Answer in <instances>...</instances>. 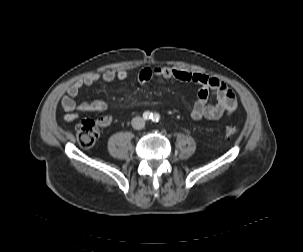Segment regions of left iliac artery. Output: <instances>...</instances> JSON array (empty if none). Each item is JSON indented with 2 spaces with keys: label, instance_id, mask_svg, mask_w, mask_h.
Returning <instances> with one entry per match:
<instances>
[{
  "label": "left iliac artery",
  "instance_id": "44dca946",
  "mask_svg": "<svg viewBox=\"0 0 303 252\" xmlns=\"http://www.w3.org/2000/svg\"><path fill=\"white\" fill-rule=\"evenodd\" d=\"M159 119H160V115H159V114L154 113V114L152 115V120H153L154 122H158Z\"/></svg>",
  "mask_w": 303,
  "mask_h": 252
}]
</instances>
